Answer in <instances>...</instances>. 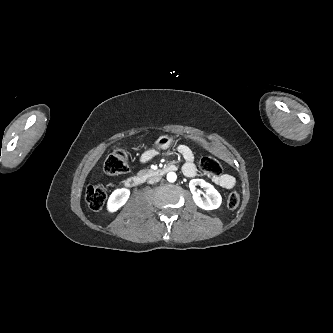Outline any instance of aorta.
I'll return each instance as SVG.
<instances>
[{"mask_svg": "<svg viewBox=\"0 0 333 333\" xmlns=\"http://www.w3.org/2000/svg\"><path fill=\"white\" fill-rule=\"evenodd\" d=\"M176 179H177V175H176L175 172H169V173L167 174V180H168L169 182H175Z\"/></svg>", "mask_w": 333, "mask_h": 333, "instance_id": "obj_1", "label": "aorta"}]
</instances>
